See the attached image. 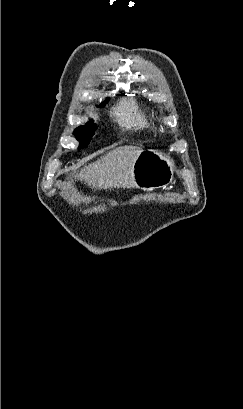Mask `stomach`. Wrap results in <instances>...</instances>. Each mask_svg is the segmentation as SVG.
<instances>
[{
  "instance_id": "stomach-1",
  "label": "stomach",
  "mask_w": 243,
  "mask_h": 409,
  "mask_svg": "<svg viewBox=\"0 0 243 409\" xmlns=\"http://www.w3.org/2000/svg\"><path fill=\"white\" fill-rule=\"evenodd\" d=\"M174 164L155 151L142 150L133 165L135 186L142 190L165 188L173 179Z\"/></svg>"
}]
</instances>
